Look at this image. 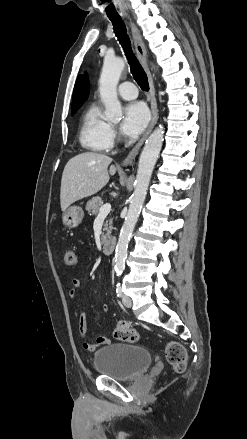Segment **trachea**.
Wrapping results in <instances>:
<instances>
[{
    "label": "trachea",
    "instance_id": "1",
    "mask_svg": "<svg viewBox=\"0 0 247 439\" xmlns=\"http://www.w3.org/2000/svg\"><path fill=\"white\" fill-rule=\"evenodd\" d=\"M108 18L111 20L114 32L123 47L135 81L142 90L148 91L149 83L147 75L131 50L130 39L127 35L123 20L119 16H108Z\"/></svg>",
    "mask_w": 247,
    "mask_h": 439
}]
</instances>
